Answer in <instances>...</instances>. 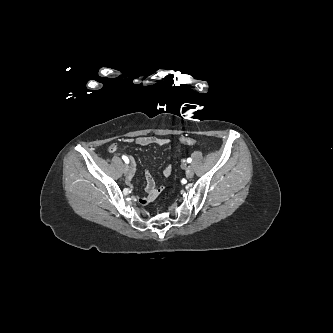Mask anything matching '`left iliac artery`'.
I'll return each mask as SVG.
<instances>
[{
	"label": "left iliac artery",
	"instance_id": "obj_1",
	"mask_svg": "<svg viewBox=\"0 0 333 333\" xmlns=\"http://www.w3.org/2000/svg\"><path fill=\"white\" fill-rule=\"evenodd\" d=\"M191 161H192L191 158H188V159H187V162H188V163H191Z\"/></svg>",
	"mask_w": 333,
	"mask_h": 333
}]
</instances>
